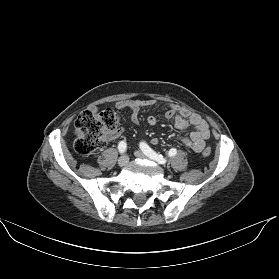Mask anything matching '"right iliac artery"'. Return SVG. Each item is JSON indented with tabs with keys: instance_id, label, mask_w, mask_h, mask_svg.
<instances>
[{
	"instance_id": "obj_1",
	"label": "right iliac artery",
	"mask_w": 279,
	"mask_h": 279,
	"mask_svg": "<svg viewBox=\"0 0 279 279\" xmlns=\"http://www.w3.org/2000/svg\"><path fill=\"white\" fill-rule=\"evenodd\" d=\"M127 149V144L125 141H121L118 145V150L121 154L125 153Z\"/></svg>"
}]
</instances>
